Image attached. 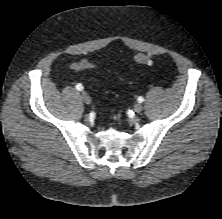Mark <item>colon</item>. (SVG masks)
<instances>
[{
  "label": "colon",
  "mask_w": 222,
  "mask_h": 219,
  "mask_svg": "<svg viewBox=\"0 0 222 219\" xmlns=\"http://www.w3.org/2000/svg\"><path fill=\"white\" fill-rule=\"evenodd\" d=\"M134 59L138 64H150L153 60L152 57L147 54H137Z\"/></svg>",
  "instance_id": "5ec220e1"
}]
</instances>
